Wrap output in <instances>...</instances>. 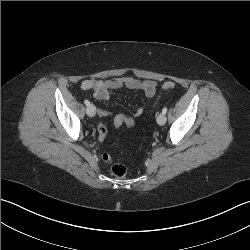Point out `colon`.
<instances>
[{
  "label": "colon",
  "mask_w": 250,
  "mask_h": 250,
  "mask_svg": "<svg viewBox=\"0 0 250 250\" xmlns=\"http://www.w3.org/2000/svg\"><path fill=\"white\" fill-rule=\"evenodd\" d=\"M176 87V84L172 81L165 82L162 85V90L168 91ZM127 115L124 113H118L112 121V126H114V132H119V129L122 126V123L127 120ZM99 138L104 140L107 135V129L104 124H100L98 127ZM103 160L105 162H111V158L107 153L103 154ZM111 173L116 178H124L127 174V168L121 163H115L111 166Z\"/></svg>",
  "instance_id": "5ec220e1"
}]
</instances>
